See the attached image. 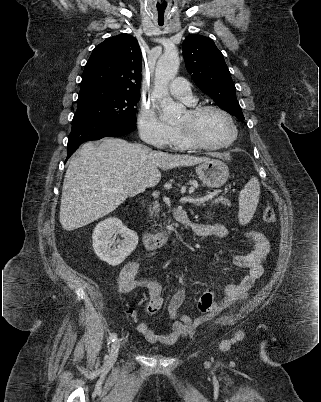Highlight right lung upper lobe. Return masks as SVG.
Segmentation results:
<instances>
[{
    "instance_id": "1",
    "label": "right lung upper lobe",
    "mask_w": 321,
    "mask_h": 402,
    "mask_svg": "<svg viewBox=\"0 0 321 402\" xmlns=\"http://www.w3.org/2000/svg\"><path fill=\"white\" fill-rule=\"evenodd\" d=\"M141 50L130 34L107 38L87 61L81 88L100 87L140 94Z\"/></svg>"
}]
</instances>
